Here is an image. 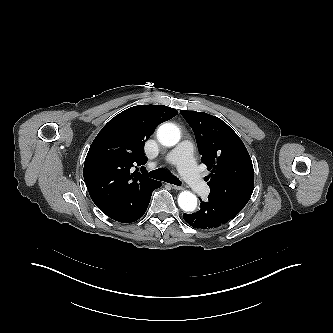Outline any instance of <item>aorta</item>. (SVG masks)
Wrapping results in <instances>:
<instances>
[{"instance_id": "1", "label": "aorta", "mask_w": 333, "mask_h": 333, "mask_svg": "<svg viewBox=\"0 0 333 333\" xmlns=\"http://www.w3.org/2000/svg\"><path fill=\"white\" fill-rule=\"evenodd\" d=\"M180 137V130L173 123H164L157 130L159 142L166 147L175 146ZM178 205L185 212L194 211L197 206V197L190 191H182L178 196Z\"/></svg>"}]
</instances>
